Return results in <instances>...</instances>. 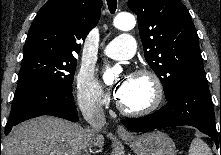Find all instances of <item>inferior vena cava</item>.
<instances>
[{"instance_id": "obj_1", "label": "inferior vena cava", "mask_w": 221, "mask_h": 155, "mask_svg": "<svg viewBox=\"0 0 221 155\" xmlns=\"http://www.w3.org/2000/svg\"><path fill=\"white\" fill-rule=\"evenodd\" d=\"M79 108L84 119L90 125V128L86 129V140L82 146V149L85 152L83 155H89L87 147L89 150H91V143L94 140V133L98 132L106 121L105 114L102 106L98 103L97 98L90 96L79 99Z\"/></svg>"}]
</instances>
